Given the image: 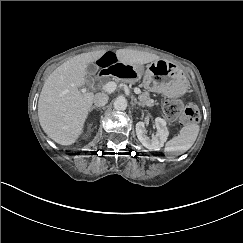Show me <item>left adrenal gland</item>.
<instances>
[{"label":"left adrenal gland","instance_id":"left-adrenal-gland-1","mask_svg":"<svg viewBox=\"0 0 243 243\" xmlns=\"http://www.w3.org/2000/svg\"><path fill=\"white\" fill-rule=\"evenodd\" d=\"M134 103L138 104L139 106L145 107V105L142 102H138L137 99H134Z\"/></svg>","mask_w":243,"mask_h":243}]
</instances>
